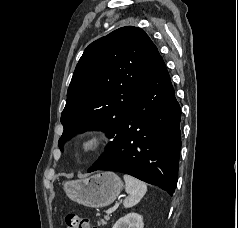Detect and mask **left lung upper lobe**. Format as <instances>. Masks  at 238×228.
Wrapping results in <instances>:
<instances>
[{
	"label": "left lung upper lobe",
	"mask_w": 238,
	"mask_h": 228,
	"mask_svg": "<svg viewBox=\"0 0 238 228\" xmlns=\"http://www.w3.org/2000/svg\"><path fill=\"white\" fill-rule=\"evenodd\" d=\"M158 54L149 36L133 26L119 28L91 43L68 88L59 147L76 133L100 129L113 141L93 166L107 162L114 153L120 126Z\"/></svg>",
	"instance_id": "obj_1"
}]
</instances>
